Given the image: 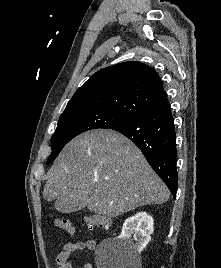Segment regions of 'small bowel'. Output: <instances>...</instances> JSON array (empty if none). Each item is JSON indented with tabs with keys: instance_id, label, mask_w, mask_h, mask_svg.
<instances>
[{
	"instance_id": "c3829d8e",
	"label": "small bowel",
	"mask_w": 221,
	"mask_h": 268,
	"mask_svg": "<svg viewBox=\"0 0 221 268\" xmlns=\"http://www.w3.org/2000/svg\"><path fill=\"white\" fill-rule=\"evenodd\" d=\"M96 241L89 239L86 242L71 241L64 245L62 250L56 256L57 268H73V261L71 255L75 252L88 249L94 250L96 248ZM83 268H94L91 263H86Z\"/></svg>"
}]
</instances>
